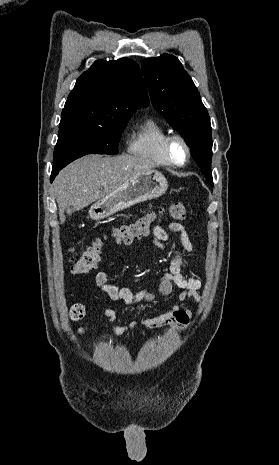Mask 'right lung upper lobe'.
Returning <instances> with one entry per match:
<instances>
[{"label":"right lung upper lobe","mask_w":279,"mask_h":465,"mask_svg":"<svg viewBox=\"0 0 279 465\" xmlns=\"http://www.w3.org/2000/svg\"><path fill=\"white\" fill-rule=\"evenodd\" d=\"M148 103L146 86L136 62L128 58L98 60L77 79L59 127L100 125L115 112L134 113Z\"/></svg>","instance_id":"obj_1"}]
</instances>
